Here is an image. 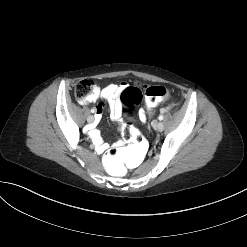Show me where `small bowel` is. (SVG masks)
Listing matches in <instances>:
<instances>
[{
	"mask_svg": "<svg viewBox=\"0 0 247 247\" xmlns=\"http://www.w3.org/2000/svg\"><path fill=\"white\" fill-rule=\"evenodd\" d=\"M126 88L127 85L124 82L119 84H109L104 88H100L97 85L93 84L91 94L86 100L81 101V103L89 104L96 102L98 99H102L107 102L110 109L111 117L113 119H118L122 113L120 95ZM101 109V107H98L97 110H95L97 112V121L101 119ZM139 118L142 122L146 121V112L144 109H141L139 111ZM90 135L96 145L97 152L103 153L107 150L108 145L102 142L100 133L96 128L91 129ZM117 144L120 145L121 143L118 142Z\"/></svg>",
	"mask_w": 247,
	"mask_h": 247,
	"instance_id": "small-bowel-1",
	"label": "small bowel"
}]
</instances>
